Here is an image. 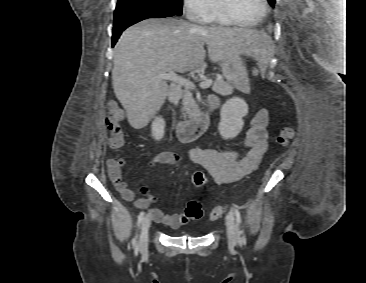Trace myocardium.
<instances>
[{"label": "myocardium", "instance_id": "1", "mask_svg": "<svg viewBox=\"0 0 366 283\" xmlns=\"http://www.w3.org/2000/svg\"><path fill=\"white\" fill-rule=\"evenodd\" d=\"M264 11L262 15L251 23H247L239 19L233 11L231 0H215V5L218 12L228 21L233 24L243 27H253L262 22L268 15L269 5L267 0H262Z\"/></svg>", "mask_w": 366, "mask_h": 283}]
</instances>
